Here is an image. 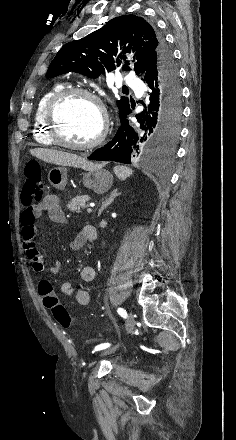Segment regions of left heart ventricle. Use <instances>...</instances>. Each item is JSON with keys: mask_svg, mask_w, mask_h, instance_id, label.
Here are the masks:
<instances>
[{"mask_svg": "<svg viewBox=\"0 0 236 440\" xmlns=\"http://www.w3.org/2000/svg\"><path fill=\"white\" fill-rule=\"evenodd\" d=\"M56 117L62 138L70 143H87L100 130L101 117L97 106L80 96L64 100L56 111Z\"/></svg>", "mask_w": 236, "mask_h": 440, "instance_id": "left-heart-ventricle-1", "label": "left heart ventricle"}]
</instances>
